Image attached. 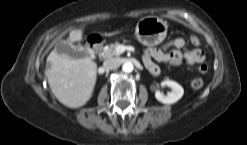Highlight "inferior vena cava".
Returning <instances> with one entry per match:
<instances>
[{
    "instance_id": "obj_1",
    "label": "inferior vena cava",
    "mask_w": 247,
    "mask_h": 145,
    "mask_svg": "<svg viewBox=\"0 0 247 145\" xmlns=\"http://www.w3.org/2000/svg\"><path fill=\"white\" fill-rule=\"evenodd\" d=\"M120 66L119 60L115 58H110L104 61L103 67L106 70H115Z\"/></svg>"
}]
</instances>
